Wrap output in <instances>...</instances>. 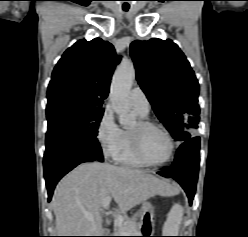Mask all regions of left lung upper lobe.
Instances as JSON below:
<instances>
[{"mask_svg": "<svg viewBox=\"0 0 248 237\" xmlns=\"http://www.w3.org/2000/svg\"><path fill=\"white\" fill-rule=\"evenodd\" d=\"M130 53L139 85L154 112L175 140L191 138L198 128L199 84L180 48L170 39L136 40Z\"/></svg>", "mask_w": 248, "mask_h": 237, "instance_id": "obj_1", "label": "left lung upper lobe"}]
</instances>
